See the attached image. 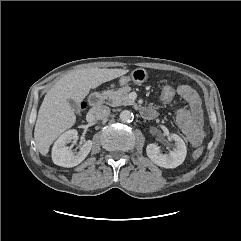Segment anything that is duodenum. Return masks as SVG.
Returning <instances> with one entry per match:
<instances>
[{
  "label": "duodenum",
  "instance_id": "duodenum-1",
  "mask_svg": "<svg viewBox=\"0 0 241 241\" xmlns=\"http://www.w3.org/2000/svg\"><path fill=\"white\" fill-rule=\"evenodd\" d=\"M104 99H105L104 93L96 92L91 95L89 102L92 107H99L100 105L103 104ZM142 113H143L144 117L149 118V119H152L156 116V112L149 108L143 109Z\"/></svg>",
  "mask_w": 241,
  "mask_h": 241
}]
</instances>
